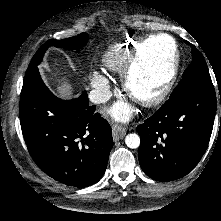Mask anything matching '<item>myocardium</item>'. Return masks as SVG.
<instances>
[{
  "mask_svg": "<svg viewBox=\"0 0 221 221\" xmlns=\"http://www.w3.org/2000/svg\"><path fill=\"white\" fill-rule=\"evenodd\" d=\"M156 37H165L172 44V52L166 68V78L163 82L148 88L146 95H137L132 92L133 75L140 62L144 47ZM180 65V55L175 38L168 33H156L143 37L135 46L128 62L121 72V82L125 93L134 101L145 107H153L160 104L170 91Z\"/></svg>",
  "mask_w": 221,
  "mask_h": 221,
  "instance_id": "obj_1",
  "label": "myocardium"
}]
</instances>
